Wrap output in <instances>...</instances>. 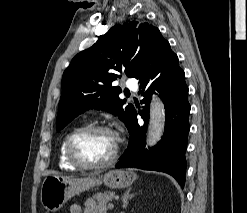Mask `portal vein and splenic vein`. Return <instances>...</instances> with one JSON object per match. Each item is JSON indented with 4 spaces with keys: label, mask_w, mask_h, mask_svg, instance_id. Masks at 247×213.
<instances>
[{
    "label": "portal vein and splenic vein",
    "mask_w": 247,
    "mask_h": 213,
    "mask_svg": "<svg viewBox=\"0 0 247 213\" xmlns=\"http://www.w3.org/2000/svg\"><path fill=\"white\" fill-rule=\"evenodd\" d=\"M108 208H109V209H113V208H114V205H113L112 203H109V204H108Z\"/></svg>",
    "instance_id": "portal-vein-and-splenic-vein-1"
}]
</instances>
